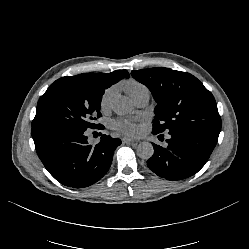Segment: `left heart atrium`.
<instances>
[{"mask_svg":"<svg viewBox=\"0 0 249 249\" xmlns=\"http://www.w3.org/2000/svg\"><path fill=\"white\" fill-rule=\"evenodd\" d=\"M113 127L114 129L131 136L138 133V127L132 121L126 119L114 120Z\"/></svg>","mask_w":249,"mask_h":249,"instance_id":"left-heart-atrium-1","label":"left heart atrium"}]
</instances>
